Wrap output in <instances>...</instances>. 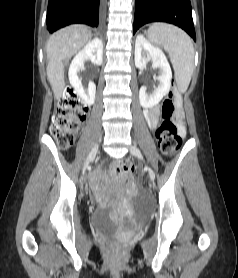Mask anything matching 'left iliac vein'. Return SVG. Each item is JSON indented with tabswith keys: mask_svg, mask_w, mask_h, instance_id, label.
Segmentation results:
<instances>
[{
	"mask_svg": "<svg viewBox=\"0 0 238 278\" xmlns=\"http://www.w3.org/2000/svg\"><path fill=\"white\" fill-rule=\"evenodd\" d=\"M130 153L137 158H140V159L142 158V153L136 145L130 146ZM147 171H148L151 182H154V179H155L154 171L150 167H147Z\"/></svg>",
	"mask_w": 238,
	"mask_h": 278,
	"instance_id": "1",
	"label": "left iliac vein"
}]
</instances>
